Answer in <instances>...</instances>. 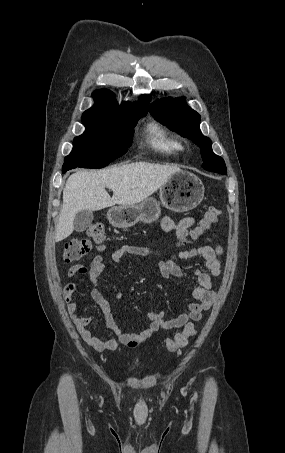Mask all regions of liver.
Returning a JSON list of instances; mask_svg holds the SVG:
<instances>
[{"label":"liver","instance_id":"liver-1","mask_svg":"<svg viewBox=\"0 0 285 453\" xmlns=\"http://www.w3.org/2000/svg\"><path fill=\"white\" fill-rule=\"evenodd\" d=\"M177 166L135 162L98 171H77L66 181L63 206L56 226L55 241L70 236L74 218L81 210L98 211L119 204L140 203L156 192ZM105 188L113 191L112 198Z\"/></svg>","mask_w":285,"mask_h":453}]
</instances>
